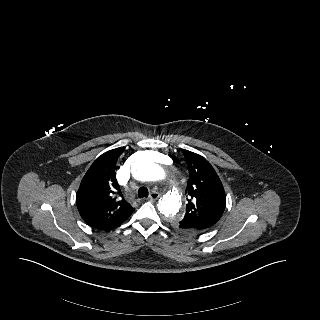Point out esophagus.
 Here are the masks:
<instances>
[{
    "label": "esophagus",
    "instance_id": "1",
    "mask_svg": "<svg viewBox=\"0 0 320 320\" xmlns=\"http://www.w3.org/2000/svg\"><path fill=\"white\" fill-rule=\"evenodd\" d=\"M159 196L160 194L154 191L149 195L148 200L155 201L159 198Z\"/></svg>",
    "mask_w": 320,
    "mask_h": 320
}]
</instances>
